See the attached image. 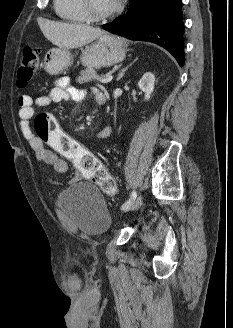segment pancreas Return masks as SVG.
Returning <instances> with one entry per match:
<instances>
[{
    "label": "pancreas",
    "mask_w": 233,
    "mask_h": 328,
    "mask_svg": "<svg viewBox=\"0 0 233 328\" xmlns=\"http://www.w3.org/2000/svg\"><path fill=\"white\" fill-rule=\"evenodd\" d=\"M101 78L92 68L82 70L76 81L80 84L95 81Z\"/></svg>",
    "instance_id": "1"
}]
</instances>
